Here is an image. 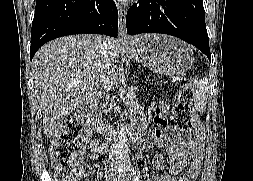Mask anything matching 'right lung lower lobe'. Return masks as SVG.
<instances>
[{
	"label": "right lung lower lobe",
	"instance_id": "1",
	"mask_svg": "<svg viewBox=\"0 0 253 181\" xmlns=\"http://www.w3.org/2000/svg\"><path fill=\"white\" fill-rule=\"evenodd\" d=\"M118 10L113 0H36L30 59L46 42L78 33L117 37Z\"/></svg>",
	"mask_w": 253,
	"mask_h": 181
}]
</instances>
